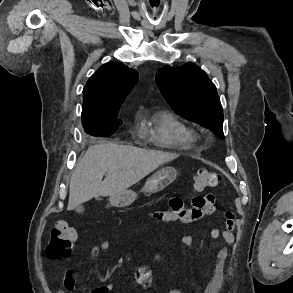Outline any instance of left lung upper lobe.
<instances>
[{"instance_id": "1", "label": "left lung upper lobe", "mask_w": 293, "mask_h": 293, "mask_svg": "<svg viewBox=\"0 0 293 293\" xmlns=\"http://www.w3.org/2000/svg\"><path fill=\"white\" fill-rule=\"evenodd\" d=\"M156 83L175 112L224 138L220 99L203 70L191 62L176 68L165 66L157 72Z\"/></svg>"}]
</instances>
